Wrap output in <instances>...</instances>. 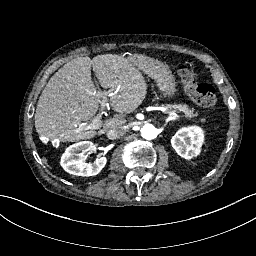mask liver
I'll use <instances>...</instances> for the list:
<instances>
[{"label":"liver","instance_id":"6515ba94","mask_svg":"<svg viewBox=\"0 0 256 256\" xmlns=\"http://www.w3.org/2000/svg\"><path fill=\"white\" fill-rule=\"evenodd\" d=\"M91 67L100 85L97 91L91 79ZM147 84L134 62L116 54L97 55L92 60L78 57L61 67L48 81L39 97L35 128L40 137L62 142L93 138L94 129L79 128L91 124L103 97L122 115L132 113L145 99ZM126 123L124 118H109L102 123L106 132Z\"/></svg>","mask_w":256,"mask_h":256}]
</instances>
